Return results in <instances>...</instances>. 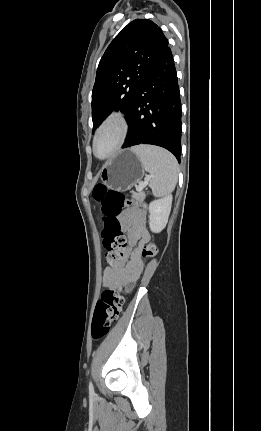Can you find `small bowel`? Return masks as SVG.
<instances>
[{"label": "small bowel", "instance_id": "obj_1", "mask_svg": "<svg viewBox=\"0 0 261 431\" xmlns=\"http://www.w3.org/2000/svg\"><path fill=\"white\" fill-rule=\"evenodd\" d=\"M123 229L127 231V262L119 266H109L103 272L104 287L117 289L127 283L136 282L143 270L142 250L149 241L150 234L145 227V213L139 207L127 209L120 218ZM138 244L135 249L134 245Z\"/></svg>", "mask_w": 261, "mask_h": 431}]
</instances>
